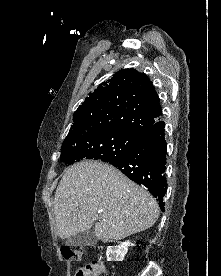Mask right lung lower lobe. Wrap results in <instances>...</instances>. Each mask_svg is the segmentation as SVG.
<instances>
[{
  "label": "right lung lower lobe",
  "mask_w": 221,
  "mask_h": 276,
  "mask_svg": "<svg viewBox=\"0 0 221 276\" xmlns=\"http://www.w3.org/2000/svg\"><path fill=\"white\" fill-rule=\"evenodd\" d=\"M164 122H156L130 152L108 161L134 182L143 185L164 211L167 190Z\"/></svg>",
  "instance_id": "right-lung-lower-lobe-1"
}]
</instances>
